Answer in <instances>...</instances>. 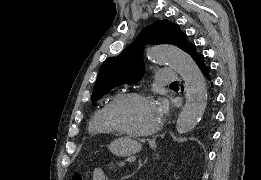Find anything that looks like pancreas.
Returning <instances> with one entry per match:
<instances>
[{
    "mask_svg": "<svg viewBox=\"0 0 261 180\" xmlns=\"http://www.w3.org/2000/svg\"><path fill=\"white\" fill-rule=\"evenodd\" d=\"M139 150H140V146H139ZM106 166L108 170H117L116 159H110L109 162L106 163Z\"/></svg>",
    "mask_w": 261,
    "mask_h": 180,
    "instance_id": "cf45deb5",
    "label": "pancreas"
}]
</instances>
